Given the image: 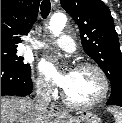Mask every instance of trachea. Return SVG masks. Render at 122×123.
<instances>
[{
	"mask_svg": "<svg viewBox=\"0 0 122 123\" xmlns=\"http://www.w3.org/2000/svg\"><path fill=\"white\" fill-rule=\"evenodd\" d=\"M51 10L50 0H43L41 3V15L45 19L49 15Z\"/></svg>",
	"mask_w": 122,
	"mask_h": 123,
	"instance_id": "trachea-1",
	"label": "trachea"
}]
</instances>
